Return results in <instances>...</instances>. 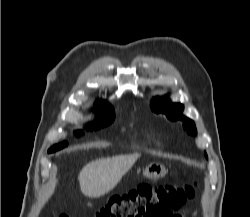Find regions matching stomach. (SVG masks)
<instances>
[{"label":"stomach","instance_id":"0dacf381","mask_svg":"<svg viewBox=\"0 0 250 217\" xmlns=\"http://www.w3.org/2000/svg\"><path fill=\"white\" fill-rule=\"evenodd\" d=\"M165 173L164 166L160 164H150L143 170V176L151 180L159 179Z\"/></svg>","mask_w":250,"mask_h":217}]
</instances>
